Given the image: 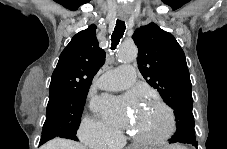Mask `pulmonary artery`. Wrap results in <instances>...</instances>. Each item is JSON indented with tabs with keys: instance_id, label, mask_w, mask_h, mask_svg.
<instances>
[{
	"instance_id": "1",
	"label": "pulmonary artery",
	"mask_w": 227,
	"mask_h": 149,
	"mask_svg": "<svg viewBox=\"0 0 227 149\" xmlns=\"http://www.w3.org/2000/svg\"><path fill=\"white\" fill-rule=\"evenodd\" d=\"M135 81L133 66H120L107 71L98 80V86L104 90H122L130 87Z\"/></svg>"
}]
</instances>
